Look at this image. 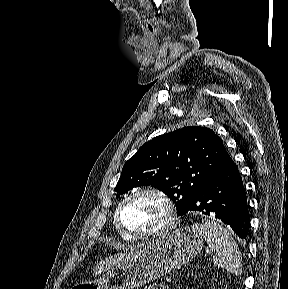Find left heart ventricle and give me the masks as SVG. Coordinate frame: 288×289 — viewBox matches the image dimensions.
<instances>
[{
    "label": "left heart ventricle",
    "instance_id": "1",
    "mask_svg": "<svg viewBox=\"0 0 288 289\" xmlns=\"http://www.w3.org/2000/svg\"><path fill=\"white\" fill-rule=\"evenodd\" d=\"M165 217L166 210L161 200L152 195H142L124 209L122 221L130 231L146 233L161 227Z\"/></svg>",
    "mask_w": 288,
    "mask_h": 289
}]
</instances>
